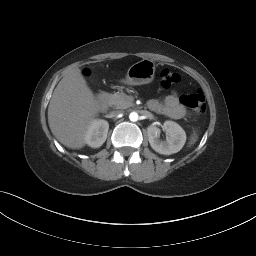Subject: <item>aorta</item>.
<instances>
[{
	"mask_svg": "<svg viewBox=\"0 0 256 256\" xmlns=\"http://www.w3.org/2000/svg\"><path fill=\"white\" fill-rule=\"evenodd\" d=\"M139 116L136 112H131L130 115H129V119L132 121V122H136L138 120Z\"/></svg>",
	"mask_w": 256,
	"mask_h": 256,
	"instance_id": "762f6f07",
	"label": "aorta"
}]
</instances>
